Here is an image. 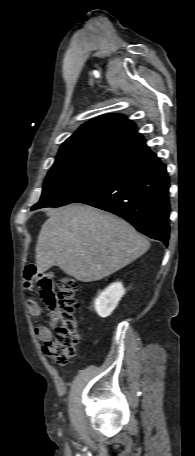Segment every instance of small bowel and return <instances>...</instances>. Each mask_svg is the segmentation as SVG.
Wrapping results in <instances>:
<instances>
[{
    "mask_svg": "<svg viewBox=\"0 0 195 456\" xmlns=\"http://www.w3.org/2000/svg\"><path fill=\"white\" fill-rule=\"evenodd\" d=\"M34 282L37 283L41 297L50 310L54 322L58 315V309L56 304V295L53 289V281L48 274L38 271L35 265H27L24 271L25 288L31 289ZM27 308L32 316H40L42 313V308L35 300H28ZM35 333L36 336L44 342L50 341L53 338L52 327L39 326L35 329Z\"/></svg>",
    "mask_w": 195,
    "mask_h": 456,
    "instance_id": "c3829d8e",
    "label": "small bowel"
}]
</instances>
